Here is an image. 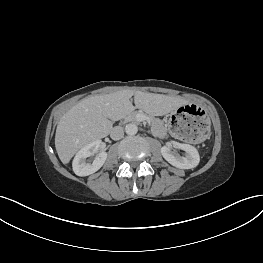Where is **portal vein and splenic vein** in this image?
<instances>
[{"label": "portal vein and splenic vein", "mask_w": 263, "mask_h": 263, "mask_svg": "<svg viewBox=\"0 0 263 263\" xmlns=\"http://www.w3.org/2000/svg\"><path fill=\"white\" fill-rule=\"evenodd\" d=\"M137 118L139 121H144V120L150 121V119L144 114H138Z\"/></svg>", "instance_id": "obj_1"}]
</instances>
